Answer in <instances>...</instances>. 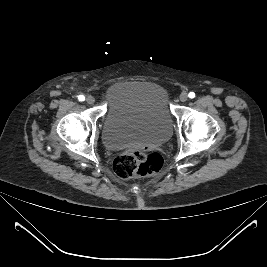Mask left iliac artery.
Returning <instances> with one entry per match:
<instances>
[{"label": "left iliac artery", "mask_w": 267, "mask_h": 267, "mask_svg": "<svg viewBox=\"0 0 267 267\" xmlns=\"http://www.w3.org/2000/svg\"><path fill=\"white\" fill-rule=\"evenodd\" d=\"M190 98H194L195 97V93L194 92H190L188 95Z\"/></svg>", "instance_id": "left-iliac-artery-1"}]
</instances>
